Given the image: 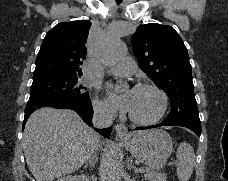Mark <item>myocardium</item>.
I'll list each match as a JSON object with an SVG mask.
<instances>
[{"instance_id":"obj_1","label":"myocardium","mask_w":228,"mask_h":181,"mask_svg":"<svg viewBox=\"0 0 228 181\" xmlns=\"http://www.w3.org/2000/svg\"><path fill=\"white\" fill-rule=\"evenodd\" d=\"M131 87L133 89L150 88V89L154 90L160 98V105H159V108L156 111V113L150 118H146V119L138 118L135 115H133L131 112L129 113V118L133 122L140 124V125H151V124L155 123L156 121H158L164 115L166 108H167L168 100H167V96H166L165 92L160 87H158L157 85L150 83V82H136V83H133L131 85Z\"/></svg>"}]
</instances>
